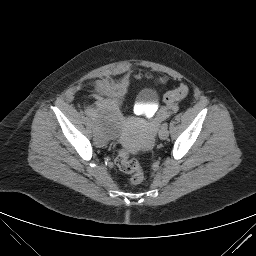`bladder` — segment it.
Wrapping results in <instances>:
<instances>
[{
  "instance_id": "1",
  "label": "bladder",
  "mask_w": 256,
  "mask_h": 256,
  "mask_svg": "<svg viewBox=\"0 0 256 256\" xmlns=\"http://www.w3.org/2000/svg\"><path fill=\"white\" fill-rule=\"evenodd\" d=\"M158 94L154 89L146 88L140 94V100L144 103H152L157 100ZM95 117V125L101 139L105 142L114 141L121 135L120 115L117 110L110 107L92 109Z\"/></svg>"
}]
</instances>
